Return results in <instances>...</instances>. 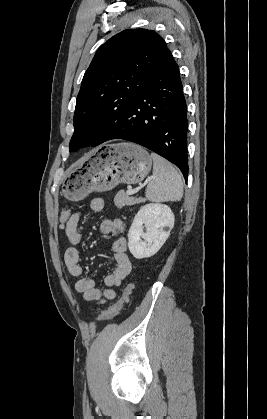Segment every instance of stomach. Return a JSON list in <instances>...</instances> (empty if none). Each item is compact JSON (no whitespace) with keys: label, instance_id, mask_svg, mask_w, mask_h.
Returning <instances> with one entry per match:
<instances>
[{"label":"stomach","instance_id":"0dacf381","mask_svg":"<svg viewBox=\"0 0 267 419\" xmlns=\"http://www.w3.org/2000/svg\"><path fill=\"white\" fill-rule=\"evenodd\" d=\"M151 167L152 158L143 147L129 142L105 144L69 170L62 194L79 201L93 191H109L120 183L137 184Z\"/></svg>","mask_w":267,"mask_h":419}]
</instances>
